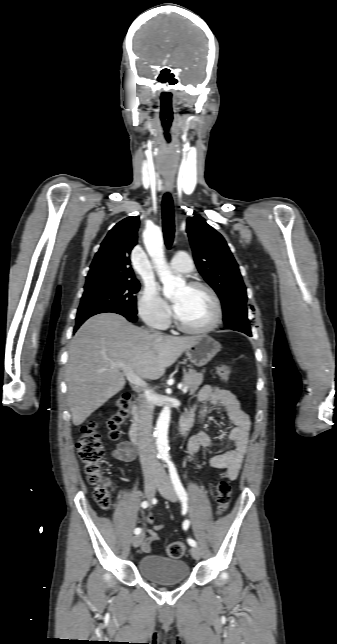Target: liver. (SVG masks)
<instances>
[{
    "label": "liver",
    "mask_w": 337,
    "mask_h": 644,
    "mask_svg": "<svg viewBox=\"0 0 337 644\" xmlns=\"http://www.w3.org/2000/svg\"><path fill=\"white\" fill-rule=\"evenodd\" d=\"M197 338L152 334L114 313L89 318L68 351L66 383L73 424L81 425L124 388L122 368L115 363H124L140 378L158 379Z\"/></svg>",
    "instance_id": "6515ba94"
}]
</instances>
